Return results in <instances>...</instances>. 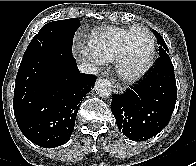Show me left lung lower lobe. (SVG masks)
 I'll list each match as a JSON object with an SVG mask.
<instances>
[{
	"label": "left lung lower lobe",
	"instance_id": "left-lung-lower-lobe-1",
	"mask_svg": "<svg viewBox=\"0 0 196 166\" xmlns=\"http://www.w3.org/2000/svg\"><path fill=\"white\" fill-rule=\"evenodd\" d=\"M176 99L174 67L165 53L143 80L124 94L113 96L111 111L125 136L145 141L168 125Z\"/></svg>",
	"mask_w": 196,
	"mask_h": 166
}]
</instances>
